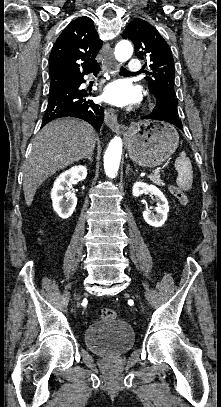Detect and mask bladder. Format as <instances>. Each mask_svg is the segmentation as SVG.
Here are the masks:
<instances>
[{"mask_svg": "<svg viewBox=\"0 0 221 407\" xmlns=\"http://www.w3.org/2000/svg\"><path fill=\"white\" fill-rule=\"evenodd\" d=\"M135 342V333L124 320L97 322L85 329L88 349L104 356H117L129 351Z\"/></svg>", "mask_w": 221, "mask_h": 407, "instance_id": "bladder-1", "label": "bladder"}]
</instances>
